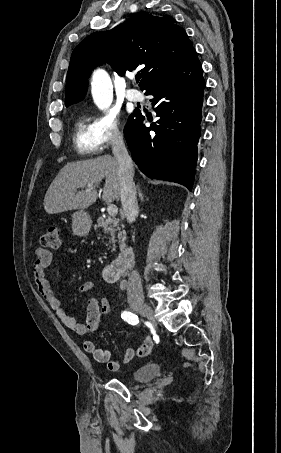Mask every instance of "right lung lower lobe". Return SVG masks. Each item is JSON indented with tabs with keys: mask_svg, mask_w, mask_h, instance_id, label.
Listing matches in <instances>:
<instances>
[{
	"mask_svg": "<svg viewBox=\"0 0 281 453\" xmlns=\"http://www.w3.org/2000/svg\"><path fill=\"white\" fill-rule=\"evenodd\" d=\"M204 88L202 66L193 52L145 89L154 96L150 101L160 118L146 127L145 115L134 111L124 135L134 162L148 177L192 189Z\"/></svg>",
	"mask_w": 281,
	"mask_h": 453,
	"instance_id": "right-lung-lower-lobe-1",
	"label": "right lung lower lobe"
}]
</instances>
